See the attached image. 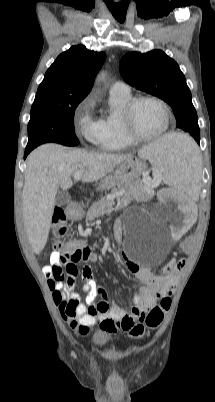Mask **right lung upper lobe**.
I'll use <instances>...</instances> for the list:
<instances>
[{
  "mask_svg": "<svg viewBox=\"0 0 215 402\" xmlns=\"http://www.w3.org/2000/svg\"><path fill=\"white\" fill-rule=\"evenodd\" d=\"M105 58L104 52L90 51L83 45L72 46L47 70L36 95L85 98Z\"/></svg>",
  "mask_w": 215,
  "mask_h": 402,
  "instance_id": "right-lung-upper-lobe-1",
  "label": "right lung upper lobe"
}]
</instances>
